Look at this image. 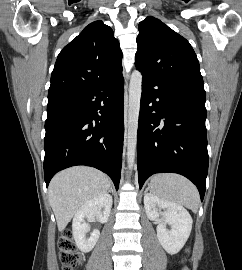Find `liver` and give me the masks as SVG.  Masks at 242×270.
Returning <instances> with one entry per match:
<instances>
[{"label": "liver", "instance_id": "6515ba94", "mask_svg": "<svg viewBox=\"0 0 242 270\" xmlns=\"http://www.w3.org/2000/svg\"><path fill=\"white\" fill-rule=\"evenodd\" d=\"M110 187L108 176L91 167H72L56 174L50 182L48 196L58 230L65 229L84 203L107 193Z\"/></svg>", "mask_w": 242, "mask_h": 270}]
</instances>
